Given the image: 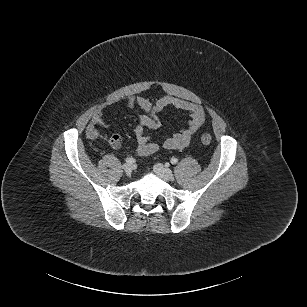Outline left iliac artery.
<instances>
[{
  "instance_id": "left-iliac-artery-1",
  "label": "left iliac artery",
  "mask_w": 307,
  "mask_h": 307,
  "mask_svg": "<svg viewBox=\"0 0 307 307\" xmlns=\"http://www.w3.org/2000/svg\"><path fill=\"white\" fill-rule=\"evenodd\" d=\"M178 162V159L177 158H175V157H172L171 158V163L172 164H176Z\"/></svg>"
}]
</instances>
